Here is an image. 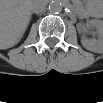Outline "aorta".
I'll use <instances>...</instances> for the list:
<instances>
[{
    "label": "aorta",
    "mask_w": 103,
    "mask_h": 103,
    "mask_svg": "<svg viewBox=\"0 0 103 103\" xmlns=\"http://www.w3.org/2000/svg\"><path fill=\"white\" fill-rule=\"evenodd\" d=\"M62 8H63V6H62L61 2L58 0H53L49 4V10L52 13H59L62 11Z\"/></svg>",
    "instance_id": "aorta-1"
}]
</instances>
